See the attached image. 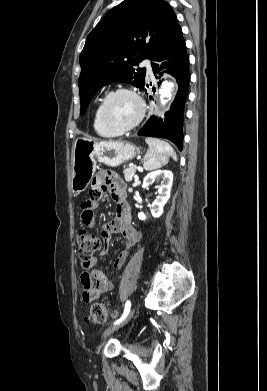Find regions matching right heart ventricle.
Here are the masks:
<instances>
[{
  "mask_svg": "<svg viewBox=\"0 0 267 391\" xmlns=\"http://www.w3.org/2000/svg\"><path fill=\"white\" fill-rule=\"evenodd\" d=\"M93 127L96 133L102 137L110 138L119 135V133L108 129L100 118V104L97 105L93 115Z\"/></svg>",
  "mask_w": 267,
  "mask_h": 391,
  "instance_id": "e07e8e85",
  "label": "right heart ventricle"
}]
</instances>
